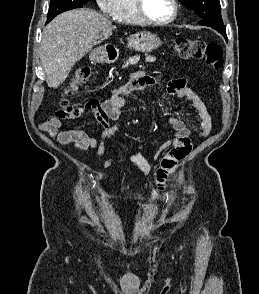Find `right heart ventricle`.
I'll return each instance as SVG.
<instances>
[{
	"label": "right heart ventricle",
	"instance_id": "right-heart-ventricle-1",
	"mask_svg": "<svg viewBox=\"0 0 259 294\" xmlns=\"http://www.w3.org/2000/svg\"><path fill=\"white\" fill-rule=\"evenodd\" d=\"M113 17L119 23L131 25L142 23L136 13L134 0H120Z\"/></svg>",
	"mask_w": 259,
	"mask_h": 294
}]
</instances>
